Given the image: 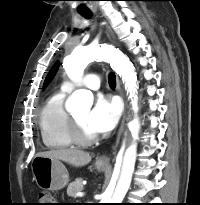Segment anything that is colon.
<instances>
[{"mask_svg": "<svg viewBox=\"0 0 200 205\" xmlns=\"http://www.w3.org/2000/svg\"><path fill=\"white\" fill-rule=\"evenodd\" d=\"M39 203L38 205H54V200L52 195L49 192H41L38 196Z\"/></svg>", "mask_w": 200, "mask_h": 205, "instance_id": "colon-1", "label": "colon"}]
</instances>
